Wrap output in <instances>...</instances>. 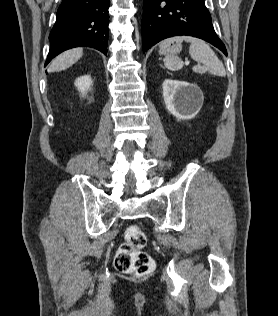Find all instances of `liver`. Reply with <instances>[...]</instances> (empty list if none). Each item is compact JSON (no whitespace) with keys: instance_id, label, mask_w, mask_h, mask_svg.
Wrapping results in <instances>:
<instances>
[{"instance_id":"1","label":"liver","mask_w":278,"mask_h":316,"mask_svg":"<svg viewBox=\"0 0 278 316\" xmlns=\"http://www.w3.org/2000/svg\"><path fill=\"white\" fill-rule=\"evenodd\" d=\"M83 55L82 48H74L68 51H65L58 55L53 61L50 67L48 68L49 72H59L71 67L76 63Z\"/></svg>"}]
</instances>
